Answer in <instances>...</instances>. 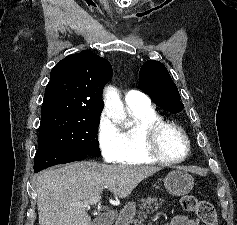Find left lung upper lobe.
<instances>
[{"mask_svg": "<svg viewBox=\"0 0 237 225\" xmlns=\"http://www.w3.org/2000/svg\"><path fill=\"white\" fill-rule=\"evenodd\" d=\"M140 88L161 108L179 113L184 105L166 67L159 61L148 60L140 69Z\"/></svg>", "mask_w": 237, "mask_h": 225, "instance_id": "obj_1", "label": "left lung upper lobe"}]
</instances>
